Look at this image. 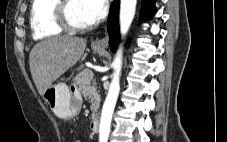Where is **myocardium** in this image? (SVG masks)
I'll return each instance as SVG.
<instances>
[{
  "label": "myocardium",
  "mask_w": 227,
  "mask_h": 142,
  "mask_svg": "<svg viewBox=\"0 0 227 142\" xmlns=\"http://www.w3.org/2000/svg\"><path fill=\"white\" fill-rule=\"evenodd\" d=\"M70 0H59L54 10V19L56 24L67 32H84L93 28L94 23L86 25L75 24L68 15V3Z\"/></svg>",
  "instance_id": "obj_1"
}]
</instances>
